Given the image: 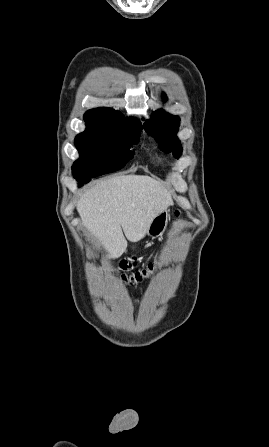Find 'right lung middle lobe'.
I'll list each match as a JSON object with an SVG mask.
<instances>
[{"instance_id":"obj_1","label":"right lung middle lobe","mask_w":269,"mask_h":447,"mask_svg":"<svg viewBox=\"0 0 269 447\" xmlns=\"http://www.w3.org/2000/svg\"><path fill=\"white\" fill-rule=\"evenodd\" d=\"M86 130L75 138L80 158L72 173L77 181H85L121 169L133 152L130 147L139 141L142 126H105L86 122Z\"/></svg>"}]
</instances>
